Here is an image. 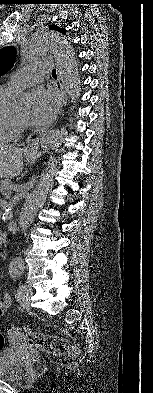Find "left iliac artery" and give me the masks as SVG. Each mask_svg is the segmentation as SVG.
I'll return each instance as SVG.
<instances>
[{
	"label": "left iliac artery",
	"mask_w": 153,
	"mask_h": 393,
	"mask_svg": "<svg viewBox=\"0 0 153 393\" xmlns=\"http://www.w3.org/2000/svg\"><path fill=\"white\" fill-rule=\"evenodd\" d=\"M14 277H15V275H13ZM25 285H21L20 287H19V289L17 290V295H18V297H21V295H22V292H23V290L25 289Z\"/></svg>",
	"instance_id": "left-iliac-artery-1"
}]
</instances>
